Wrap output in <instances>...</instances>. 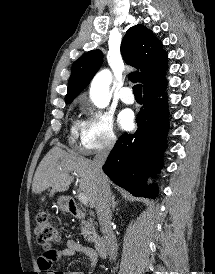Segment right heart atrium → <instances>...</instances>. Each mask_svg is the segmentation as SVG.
Returning <instances> with one entry per match:
<instances>
[{"label":"right heart atrium","mask_w":215,"mask_h":274,"mask_svg":"<svg viewBox=\"0 0 215 274\" xmlns=\"http://www.w3.org/2000/svg\"><path fill=\"white\" fill-rule=\"evenodd\" d=\"M86 114L81 124L77 150L83 154L110 150L117 141L112 116L102 110L84 105Z\"/></svg>","instance_id":"d8ad5b80"}]
</instances>
